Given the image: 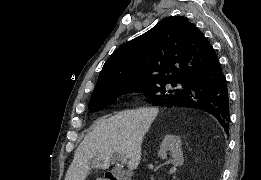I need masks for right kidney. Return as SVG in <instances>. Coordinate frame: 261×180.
Listing matches in <instances>:
<instances>
[{
	"mask_svg": "<svg viewBox=\"0 0 261 180\" xmlns=\"http://www.w3.org/2000/svg\"><path fill=\"white\" fill-rule=\"evenodd\" d=\"M181 146L182 142L179 136L168 134V136H165L160 146L158 156L159 158H163V160H166L167 152H170L172 160H169V162H171V164H174V166H183L184 158Z\"/></svg>",
	"mask_w": 261,
	"mask_h": 180,
	"instance_id": "obj_1",
	"label": "right kidney"
}]
</instances>
